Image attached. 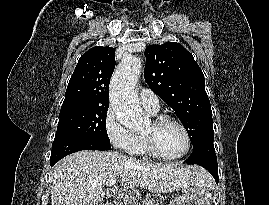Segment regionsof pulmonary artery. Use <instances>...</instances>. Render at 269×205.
<instances>
[{
    "label": "pulmonary artery",
    "mask_w": 269,
    "mask_h": 205,
    "mask_svg": "<svg viewBox=\"0 0 269 205\" xmlns=\"http://www.w3.org/2000/svg\"><path fill=\"white\" fill-rule=\"evenodd\" d=\"M140 101L144 109H146L150 113L154 114L158 112L159 107H160L159 98L150 89L143 88L140 91Z\"/></svg>",
    "instance_id": "e3ab8cb5"
}]
</instances>
